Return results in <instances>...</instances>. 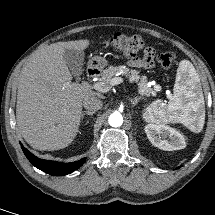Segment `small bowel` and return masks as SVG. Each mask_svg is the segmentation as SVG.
Wrapping results in <instances>:
<instances>
[{
	"label": "small bowel",
	"instance_id": "1",
	"mask_svg": "<svg viewBox=\"0 0 215 215\" xmlns=\"http://www.w3.org/2000/svg\"><path fill=\"white\" fill-rule=\"evenodd\" d=\"M154 56V50L149 47L145 50L142 58H133L130 60L129 64L132 67L148 69L154 65Z\"/></svg>",
	"mask_w": 215,
	"mask_h": 215
}]
</instances>
